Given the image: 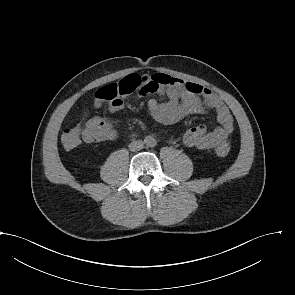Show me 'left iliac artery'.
I'll use <instances>...</instances> for the list:
<instances>
[{
	"label": "left iliac artery",
	"instance_id": "obj_1",
	"mask_svg": "<svg viewBox=\"0 0 295 295\" xmlns=\"http://www.w3.org/2000/svg\"><path fill=\"white\" fill-rule=\"evenodd\" d=\"M155 145H156V142L153 141V142L151 143V147H154Z\"/></svg>",
	"mask_w": 295,
	"mask_h": 295
}]
</instances>
